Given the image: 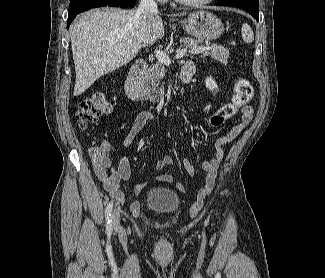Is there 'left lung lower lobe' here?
Returning a JSON list of instances; mask_svg holds the SVG:
<instances>
[{
    "label": "left lung lower lobe",
    "mask_w": 325,
    "mask_h": 278,
    "mask_svg": "<svg viewBox=\"0 0 325 278\" xmlns=\"http://www.w3.org/2000/svg\"><path fill=\"white\" fill-rule=\"evenodd\" d=\"M216 5L241 8L259 20V0H219Z\"/></svg>",
    "instance_id": "left-lung-lower-lobe-1"
}]
</instances>
